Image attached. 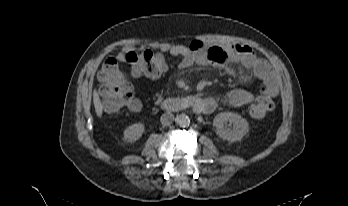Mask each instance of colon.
<instances>
[{
    "label": "colon",
    "instance_id": "5ec220e1",
    "mask_svg": "<svg viewBox=\"0 0 348 206\" xmlns=\"http://www.w3.org/2000/svg\"><path fill=\"white\" fill-rule=\"evenodd\" d=\"M124 60L130 64L135 75L157 77L165 69V61L161 53L145 49L141 51H129L124 55ZM100 92L103 108L108 112H118L122 109L135 110L139 103L133 96L131 84L126 72H124L116 58H108L99 74ZM274 103L271 93L263 89L255 104L250 108V115L254 119H261L272 111Z\"/></svg>",
    "mask_w": 348,
    "mask_h": 206
}]
</instances>
